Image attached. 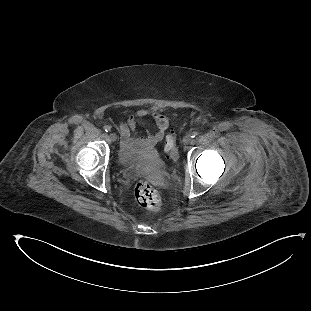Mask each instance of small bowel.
I'll use <instances>...</instances> for the list:
<instances>
[{
	"mask_svg": "<svg viewBox=\"0 0 311 311\" xmlns=\"http://www.w3.org/2000/svg\"><path fill=\"white\" fill-rule=\"evenodd\" d=\"M143 118H149L155 124L156 129L154 132L144 135H139L135 132L137 122ZM168 125V117L157 108L149 107L137 110L126 122L120 125L124 151L156 146L164 138Z\"/></svg>",
	"mask_w": 311,
	"mask_h": 311,
	"instance_id": "small-bowel-1",
	"label": "small bowel"
}]
</instances>
